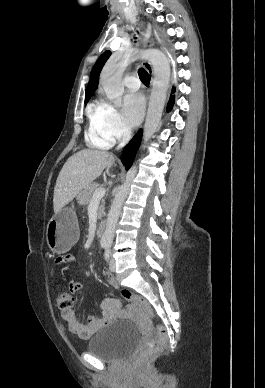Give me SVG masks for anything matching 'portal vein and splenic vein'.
Wrapping results in <instances>:
<instances>
[{
    "label": "portal vein and splenic vein",
    "instance_id": "portal-vein-and-splenic-vein-1",
    "mask_svg": "<svg viewBox=\"0 0 265 388\" xmlns=\"http://www.w3.org/2000/svg\"><path fill=\"white\" fill-rule=\"evenodd\" d=\"M105 192V188H97L92 196V200H96V198H103V196H105Z\"/></svg>",
    "mask_w": 265,
    "mask_h": 388
}]
</instances>
